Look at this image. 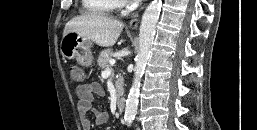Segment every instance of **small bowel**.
I'll return each mask as SVG.
<instances>
[{"instance_id":"obj_1","label":"small bowel","mask_w":257,"mask_h":130,"mask_svg":"<svg viewBox=\"0 0 257 130\" xmlns=\"http://www.w3.org/2000/svg\"><path fill=\"white\" fill-rule=\"evenodd\" d=\"M104 90L98 83H86L77 88V109L80 115V122L83 130H92L91 121L87 114L92 112L96 124L102 125L109 119V112L104 109H97L93 106L94 96H103Z\"/></svg>"}]
</instances>
